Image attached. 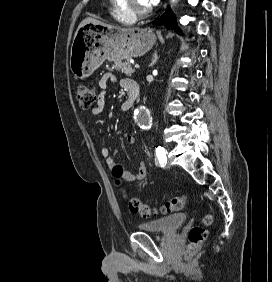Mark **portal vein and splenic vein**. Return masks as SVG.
Here are the masks:
<instances>
[{"label":"portal vein and splenic vein","instance_id":"1","mask_svg":"<svg viewBox=\"0 0 272 282\" xmlns=\"http://www.w3.org/2000/svg\"><path fill=\"white\" fill-rule=\"evenodd\" d=\"M134 67H135L136 69H138L140 66H139V64H135Z\"/></svg>","mask_w":272,"mask_h":282}]
</instances>
